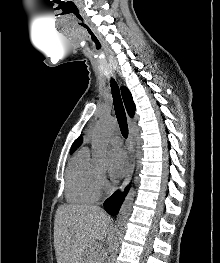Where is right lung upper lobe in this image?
<instances>
[{
  "label": "right lung upper lobe",
  "instance_id": "obj_1",
  "mask_svg": "<svg viewBox=\"0 0 220 263\" xmlns=\"http://www.w3.org/2000/svg\"><path fill=\"white\" fill-rule=\"evenodd\" d=\"M121 92H122V97H123L127 112L131 117H133L134 112H135V104L133 102L131 93L126 87H122ZM81 143H82V137H79L78 139H76V141L72 145L71 153H73L76 150V148L80 146Z\"/></svg>",
  "mask_w": 220,
  "mask_h": 263
}]
</instances>
